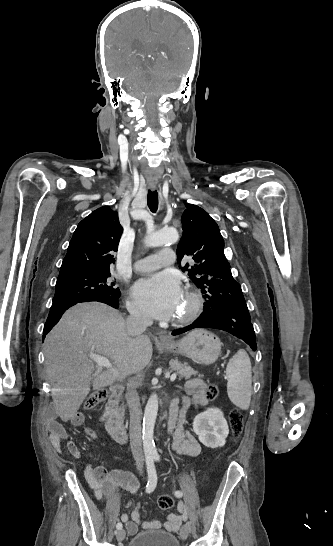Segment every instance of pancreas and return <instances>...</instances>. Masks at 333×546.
I'll return each instance as SVG.
<instances>
[{
  "label": "pancreas",
  "mask_w": 333,
  "mask_h": 546,
  "mask_svg": "<svg viewBox=\"0 0 333 546\" xmlns=\"http://www.w3.org/2000/svg\"><path fill=\"white\" fill-rule=\"evenodd\" d=\"M170 369L171 371H176V374H178L179 376V379H182V378H190L191 376H195L197 375V371H195L193 368H191L190 366H188L187 363H180L178 361H171L170 362ZM199 376H203V375H200Z\"/></svg>",
  "instance_id": "1"
}]
</instances>
